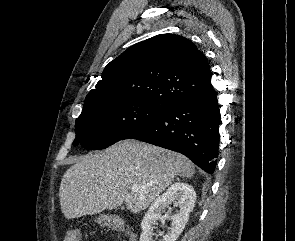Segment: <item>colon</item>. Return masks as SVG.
<instances>
[{
    "mask_svg": "<svg viewBox=\"0 0 295 241\" xmlns=\"http://www.w3.org/2000/svg\"><path fill=\"white\" fill-rule=\"evenodd\" d=\"M99 224L108 225L110 228H112L113 230L117 232H122V233L127 232V228L124 222L117 217L108 216L104 220L99 221ZM80 238H81L80 230L74 229L68 232L65 241H80Z\"/></svg>",
    "mask_w": 295,
    "mask_h": 241,
    "instance_id": "colon-1",
    "label": "colon"
}]
</instances>
